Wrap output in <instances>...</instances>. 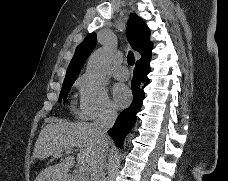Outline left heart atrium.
Segmentation results:
<instances>
[{"mask_svg": "<svg viewBox=\"0 0 228 181\" xmlns=\"http://www.w3.org/2000/svg\"><path fill=\"white\" fill-rule=\"evenodd\" d=\"M114 95H115L117 102L122 104L124 99H127L130 97V92H129L128 88H126L120 84H117L114 86Z\"/></svg>", "mask_w": 228, "mask_h": 181, "instance_id": "obj_1", "label": "left heart atrium"}]
</instances>
